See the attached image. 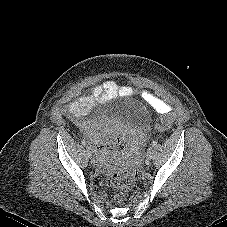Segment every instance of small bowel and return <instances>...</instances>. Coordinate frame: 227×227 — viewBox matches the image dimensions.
<instances>
[{
    "label": "small bowel",
    "mask_w": 227,
    "mask_h": 227,
    "mask_svg": "<svg viewBox=\"0 0 227 227\" xmlns=\"http://www.w3.org/2000/svg\"><path fill=\"white\" fill-rule=\"evenodd\" d=\"M133 93L134 91L132 88L119 86L115 81L107 80L96 85L88 94H84L73 101L67 109L85 112L89 110L97 101L115 97L131 96ZM142 97L156 112L160 114L172 111V107L168 103L164 102L150 92H144ZM90 142L93 150L100 156L114 155L120 147V143L114 137L92 136L90 138Z\"/></svg>",
    "instance_id": "1"
}]
</instances>
